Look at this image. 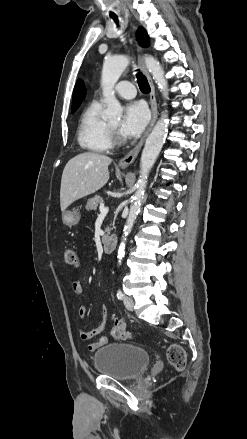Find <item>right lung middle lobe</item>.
<instances>
[{
	"label": "right lung middle lobe",
	"instance_id": "1",
	"mask_svg": "<svg viewBox=\"0 0 247 439\" xmlns=\"http://www.w3.org/2000/svg\"><path fill=\"white\" fill-rule=\"evenodd\" d=\"M77 109H72V112H75Z\"/></svg>",
	"mask_w": 247,
	"mask_h": 439
}]
</instances>
